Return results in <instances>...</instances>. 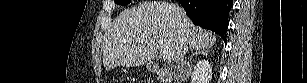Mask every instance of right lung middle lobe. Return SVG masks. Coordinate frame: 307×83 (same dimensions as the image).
<instances>
[{
    "label": "right lung middle lobe",
    "instance_id": "dd1d6c3e",
    "mask_svg": "<svg viewBox=\"0 0 307 83\" xmlns=\"http://www.w3.org/2000/svg\"><path fill=\"white\" fill-rule=\"evenodd\" d=\"M129 2H130L129 0H115V3H117L118 5H123V6L129 4Z\"/></svg>",
    "mask_w": 307,
    "mask_h": 83
}]
</instances>
